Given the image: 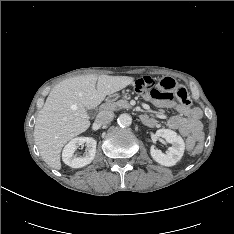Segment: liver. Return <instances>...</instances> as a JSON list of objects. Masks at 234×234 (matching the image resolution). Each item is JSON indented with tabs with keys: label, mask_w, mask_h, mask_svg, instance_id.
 I'll use <instances>...</instances> for the list:
<instances>
[{
	"label": "liver",
	"mask_w": 234,
	"mask_h": 234,
	"mask_svg": "<svg viewBox=\"0 0 234 234\" xmlns=\"http://www.w3.org/2000/svg\"><path fill=\"white\" fill-rule=\"evenodd\" d=\"M133 80L130 76L82 75L57 84L39 111L34 128V140L42 159L59 170L63 146L90 127L87 109L97 107L107 95Z\"/></svg>",
	"instance_id": "6515ba94"
}]
</instances>
